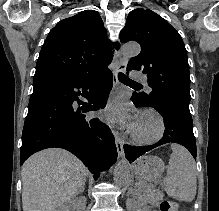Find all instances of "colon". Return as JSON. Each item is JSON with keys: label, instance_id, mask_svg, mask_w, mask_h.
Wrapping results in <instances>:
<instances>
[{"label": "colon", "instance_id": "obj_1", "mask_svg": "<svg viewBox=\"0 0 219 211\" xmlns=\"http://www.w3.org/2000/svg\"><path fill=\"white\" fill-rule=\"evenodd\" d=\"M160 210L161 211H178V205L171 200L164 199L160 202Z\"/></svg>", "mask_w": 219, "mask_h": 211}]
</instances>
